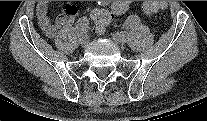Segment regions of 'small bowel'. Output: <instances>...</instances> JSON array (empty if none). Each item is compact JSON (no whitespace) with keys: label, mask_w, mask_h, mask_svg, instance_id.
I'll use <instances>...</instances> for the list:
<instances>
[{"label":"small bowel","mask_w":207,"mask_h":121,"mask_svg":"<svg viewBox=\"0 0 207 121\" xmlns=\"http://www.w3.org/2000/svg\"><path fill=\"white\" fill-rule=\"evenodd\" d=\"M126 2V1H117L113 2L111 4V7L117 6L119 3ZM128 3V2H127ZM101 5L106 6L109 4L108 1H101ZM48 1H40L37 4L36 8V15L38 19V24L41 30L44 32V34L49 37L53 38L57 34L58 30L70 26L75 19V16L77 14V8L69 3L66 5L64 12L61 16H59L54 22L51 21V19L48 17ZM128 8V7H127ZM117 10L115 9V15H121L126 10ZM83 18V17H81Z\"/></svg>","instance_id":"obj_1"}]
</instances>
